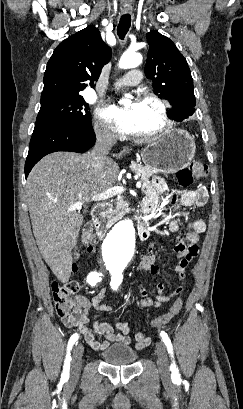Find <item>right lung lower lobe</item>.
<instances>
[{"label": "right lung lower lobe", "mask_w": 243, "mask_h": 409, "mask_svg": "<svg viewBox=\"0 0 243 409\" xmlns=\"http://www.w3.org/2000/svg\"><path fill=\"white\" fill-rule=\"evenodd\" d=\"M95 140L92 126L69 128L54 123H36L25 163V176L45 155L56 151L84 153L94 145Z\"/></svg>", "instance_id": "right-lung-lower-lobe-1"}]
</instances>
